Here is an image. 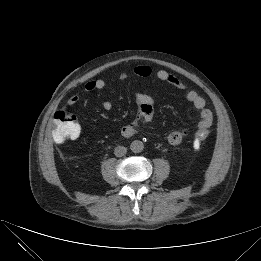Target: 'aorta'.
<instances>
[{"label":"aorta","mask_w":261,"mask_h":261,"mask_svg":"<svg viewBox=\"0 0 261 261\" xmlns=\"http://www.w3.org/2000/svg\"><path fill=\"white\" fill-rule=\"evenodd\" d=\"M130 149L132 152L134 153H140L143 151L144 149V144L142 141L140 140H134L131 144H130Z\"/></svg>","instance_id":"762f6f07"}]
</instances>
